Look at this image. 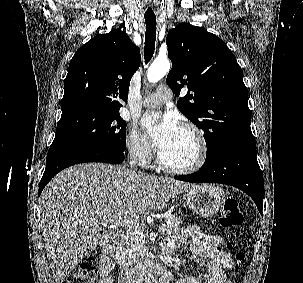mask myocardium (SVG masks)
Here are the masks:
<instances>
[{"label":"myocardium","mask_w":303,"mask_h":283,"mask_svg":"<svg viewBox=\"0 0 303 283\" xmlns=\"http://www.w3.org/2000/svg\"><path fill=\"white\" fill-rule=\"evenodd\" d=\"M181 129L187 130L193 134L198 145V154L196 160L189 166L177 167L169 165L163 158L161 151L157 154V163L161 169L166 172L177 175L192 174L203 167L208 155V145L202 130L191 122H185L180 126Z\"/></svg>","instance_id":"1"}]
</instances>
